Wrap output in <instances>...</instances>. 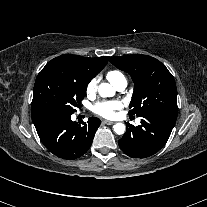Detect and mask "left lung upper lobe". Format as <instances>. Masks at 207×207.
Returning <instances> with one entry per match:
<instances>
[{"label":"left lung upper lobe","mask_w":207,"mask_h":207,"mask_svg":"<svg viewBox=\"0 0 207 207\" xmlns=\"http://www.w3.org/2000/svg\"><path fill=\"white\" fill-rule=\"evenodd\" d=\"M110 61L117 68L129 73L135 84L130 115L140 117L158 111L177 114L175 80L160 61L137 54L111 57Z\"/></svg>","instance_id":"5c2ea615"}]
</instances>
